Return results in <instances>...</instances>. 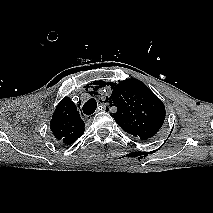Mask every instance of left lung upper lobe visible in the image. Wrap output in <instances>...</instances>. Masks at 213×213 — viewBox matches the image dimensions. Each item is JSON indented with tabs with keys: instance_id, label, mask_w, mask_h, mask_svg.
<instances>
[{
	"instance_id": "5c2ea615",
	"label": "left lung upper lobe",
	"mask_w": 213,
	"mask_h": 213,
	"mask_svg": "<svg viewBox=\"0 0 213 213\" xmlns=\"http://www.w3.org/2000/svg\"><path fill=\"white\" fill-rule=\"evenodd\" d=\"M111 105L117 107L112 113L116 123L127 133L141 140L153 137L165 120L163 102L141 81L126 79L110 83Z\"/></svg>"
}]
</instances>
